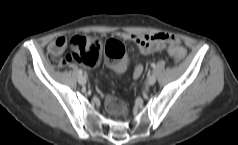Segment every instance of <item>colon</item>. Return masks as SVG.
<instances>
[{"label": "colon", "mask_w": 238, "mask_h": 145, "mask_svg": "<svg viewBox=\"0 0 238 145\" xmlns=\"http://www.w3.org/2000/svg\"><path fill=\"white\" fill-rule=\"evenodd\" d=\"M168 53L175 62H180L185 56L183 48L169 46ZM107 57L110 65L119 73H122L128 64L127 52L124 45L115 39L104 42L98 37H74L71 40V53L66 59L54 57L58 66H63L67 61L73 59L81 64L94 67L99 64L102 56ZM107 111L115 117H123L127 114L124 102L112 96L105 101Z\"/></svg>", "instance_id": "1"}]
</instances>
